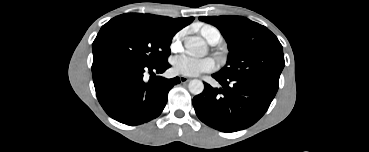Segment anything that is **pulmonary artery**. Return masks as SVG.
<instances>
[{"label":"pulmonary artery","mask_w":369,"mask_h":152,"mask_svg":"<svg viewBox=\"0 0 369 152\" xmlns=\"http://www.w3.org/2000/svg\"><path fill=\"white\" fill-rule=\"evenodd\" d=\"M220 39H221V34L216 28L212 27L208 29L207 31L208 43H210L211 45H215L220 41Z\"/></svg>","instance_id":"obj_1"}]
</instances>
